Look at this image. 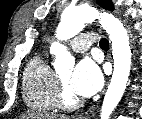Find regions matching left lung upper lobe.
Instances as JSON below:
<instances>
[{"label":"left lung upper lobe","instance_id":"5c2ea615","mask_svg":"<svg viewBox=\"0 0 142 119\" xmlns=\"http://www.w3.org/2000/svg\"><path fill=\"white\" fill-rule=\"evenodd\" d=\"M98 4L106 10L112 11L114 9L111 0H97Z\"/></svg>","mask_w":142,"mask_h":119}]
</instances>
